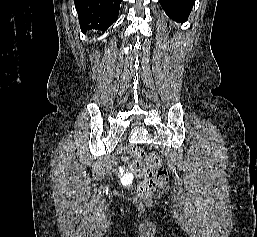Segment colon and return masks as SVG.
<instances>
[{
	"instance_id": "colon-1",
	"label": "colon",
	"mask_w": 257,
	"mask_h": 237,
	"mask_svg": "<svg viewBox=\"0 0 257 237\" xmlns=\"http://www.w3.org/2000/svg\"><path fill=\"white\" fill-rule=\"evenodd\" d=\"M126 151L135 158L131 165L133 172L141 177L138 184L140 199L148 198L167 184L169 173L166 169L161 168L162 162L157 154L146 156L145 149L137 145L129 146Z\"/></svg>"
}]
</instances>
